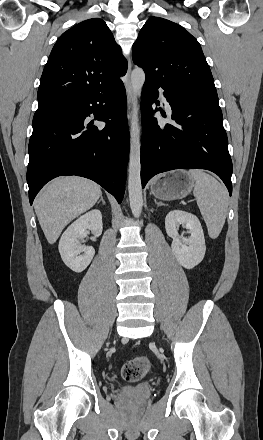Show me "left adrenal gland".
Listing matches in <instances>:
<instances>
[{
    "label": "left adrenal gland",
    "instance_id": "a2214340",
    "mask_svg": "<svg viewBox=\"0 0 263 440\" xmlns=\"http://www.w3.org/2000/svg\"><path fill=\"white\" fill-rule=\"evenodd\" d=\"M154 202H155V204L157 205V206H164L165 204H163L162 202H157L156 200H154Z\"/></svg>",
    "mask_w": 263,
    "mask_h": 440
}]
</instances>
